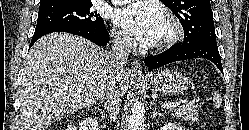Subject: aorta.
Returning <instances> with one entry per match:
<instances>
[{"instance_id":"obj_1","label":"aorta","mask_w":249,"mask_h":130,"mask_svg":"<svg viewBox=\"0 0 249 130\" xmlns=\"http://www.w3.org/2000/svg\"><path fill=\"white\" fill-rule=\"evenodd\" d=\"M144 128V107L142 103L135 101L132 104L128 120V130H143Z\"/></svg>"}]
</instances>
